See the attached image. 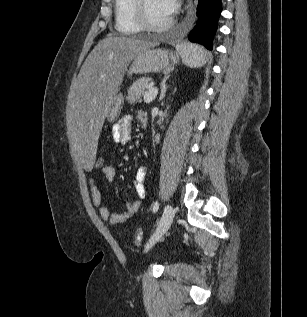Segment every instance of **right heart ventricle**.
Listing matches in <instances>:
<instances>
[{
	"instance_id": "obj_1",
	"label": "right heart ventricle",
	"mask_w": 307,
	"mask_h": 317,
	"mask_svg": "<svg viewBox=\"0 0 307 317\" xmlns=\"http://www.w3.org/2000/svg\"><path fill=\"white\" fill-rule=\"evenodd\" d=\"M115 27L120 34L139 33L140 27L134 9V0H114Z\"/></svg>"
}]
</instances>
